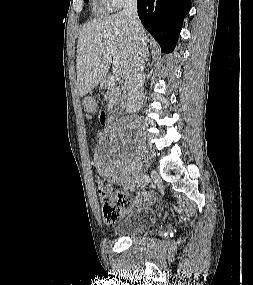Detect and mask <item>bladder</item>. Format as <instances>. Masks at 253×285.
I'll return each instance as SVG.
<instances>
[{"mask_svg": "<svg viewBox=\"0 0 253 285\" xmlns=\"http://www.w3.org/2000/svg\"><path fill=\"white\" fill-rule=\"evenodd\" d=\"M159 219V213L150 208L134 207L127 210L114 225L113 231L120 237H131L152 228Z\"/></svg>", "mask_w": 253, "mask_h": 285, "instance_id": "31cf9c89", "label": "bladder"}]
</instances>
